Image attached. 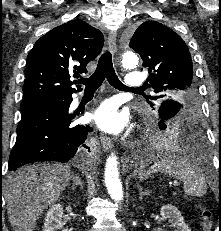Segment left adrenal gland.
I'll return each instance as SVG.
<instances>
[{"label": "left adrenal gland", "instance_id": "left-adrenal-gland-1", "mask_svg": "<svg viewBox=\"0 0 221 231\" xmlns=\"http://www.w3.org/2000/svg\"><path fill=\"white\" fill-rule=\"evenodd\" d=\"M147 194H148L147 192H144V191H143V188H142V187L139 188V195H140L139 199H142V198H143V195H147Z\"/></svg>", "mask_w": 221, "mask_h": 231}]
</instances>
